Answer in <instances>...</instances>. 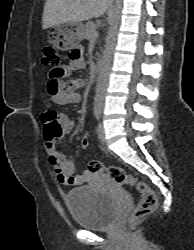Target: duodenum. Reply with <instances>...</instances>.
Instances as JSON below:
<instances>
[{"mask_svg": "<svg viewBox=\"0 0 194 250\" xmlns=\"http://www.w3.org/2000/svg\"><path fill=\"white\" fill-rule=\"evenodd\" d=\"M102 68V60L98 59L95 63L94 69H93V75L98 76Z\"/></svg>", "mask_w": 194, "mask_h": 250, "instance_id": "obj_1", "label": "duodenum"}]
</instances>
